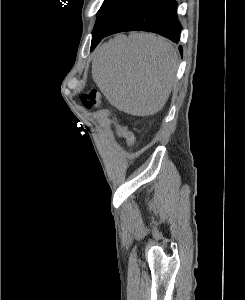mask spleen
I'll return each mask as SVG.
<instances>
[{
	"label": "spleen",
	"instance_id": "obj_1",
	"mask_svg": "<svg viewBox=\"0 0 245 300\" xmlns=\"http://www.w3.org/2000/svg\"><path fill=\"white\" fill-rule=\"evenodd\" d=\"M177 58L163 38L142 33L117 36L98 49L92 77L112 106L134 116L152 115L170 95Z\"/></svg>",
	"mask_w": 245,
	"mask_h": 300
}]
</instances>
